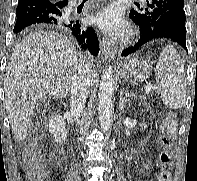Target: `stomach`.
<instances>
[{
  "instance_id": "obj_1",
  "label": "stomach",
  "mask_w": 197,
  "mask_h": 181,
  "mask_svg": "<svg viewBox=\"0 0 197 181\" xmlns=\"http://www.w3.org/2000/svg\"><path fill=\"white\" fill-rule=\"evenodd\" d=\"M152 62L138 57H132L124 61L118 74L125 80L133 82L145 81L151 74Z\"/></svg>"
}]
</instances>
